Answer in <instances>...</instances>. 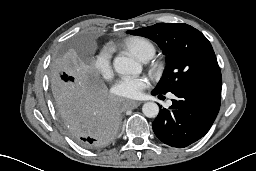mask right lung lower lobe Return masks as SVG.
Returning <instances> with one entry per match:
<instances>
[{"instance_id": "obj_1", "label": "right lung lower lobe", "mask_w": 256, "mask_h": 171, "mask_svg": "<svg viewBox=\"0 0 256 171\" xmlns=\"http://www.w3.org/2000/svg\"><path fill=\"white\" fill-rule=\"evenodd\" d=\"M56 109L68 132L86 148L111 143L121 125L118 106L101 84L83 88Z\"/></svg>"}]
</instances>
